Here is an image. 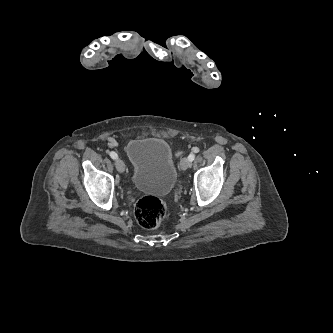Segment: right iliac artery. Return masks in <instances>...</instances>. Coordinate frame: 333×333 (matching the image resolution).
Listing matches in <instances>:
<instances>
[{
  "label": "right iliac artery",
  "mask_w": 333,
  "mask_h": 333,
  "mask_svg": "<svg viewBox=\"0 0 333 333\" xmlns=\"http://www.w3.org/2000/svg\"><path fill=\"white\" fill-rule=\"evenodd\" d=\"M109 155H110V157H111L112 159H117V158H118L117 153L114 152V151L110 152Z\"/></svg>",
  "instance_id": "82829eb1"
}]
</instances>
